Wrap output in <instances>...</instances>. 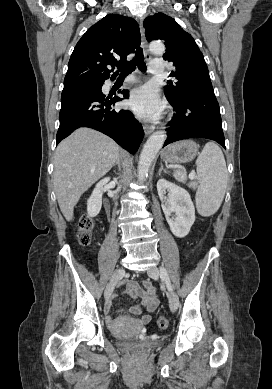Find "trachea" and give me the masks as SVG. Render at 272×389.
<instances>
[{
    "mask_svg": "<svg viewBox=\"0 0 272 389\" xmlns=\"http://www.w3.org/2000/svg\"><path fill=\"white\" fill-rule=\"evenodd\" d=\"M138 67L141 71H146V64L144 62V56L142 48L138 47L136 50V57L128 63L119 65L117 68L121 72L120 75H128L132 73L135 68Z\"/></svg>",
    "mask_w": 272,
    "mask_h": 389,
    "instance_id": "obj_1",
    "label": "trachea"
}]
</instances>
